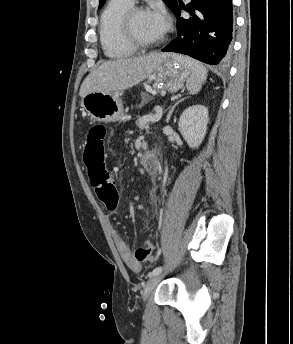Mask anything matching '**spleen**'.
Masks as SVG:
<instances>
[{
	"label": "spleen",
	"instance_id": "3e777b00",
	"mask_svg": "<svg viewBox=\"0 0 293 344\" xmlns=\"http://www.w3.org/2000/svg\"><path fill=\"white\" fill-rule=\"evenodd\" d=\"M176 57L191 69L192 74L186 82L188 91L192 94L198 93L202 87V84H204L207 79L206 68L198 61H195L189 57Z\"/></svg>",
	"mask_w": 293,
	"mask_h": 344
}]
</instances>
